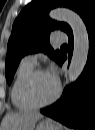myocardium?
Here are the masks:
<instances>
[{"instance_id": "1", "label": "myocardium", "mask_w": 95, "mask_h": 130, "mask_svg": "<svg viewBox=\"0 0 95 130\" xmlns=\"http://www.w3.org/2000/svg\"><path fill=\"white\" fill-rule=\"evenodd\" d=\"M41 73H47V72L40 68L33 69L27 76L24 86H23V93H24L25 99L27 100V102L29 104H31L35 108L45 107V106H48V105L54 103L59 98L60 93H61L60 82L56 79L57 88H56V93L54 94V96L52 98H50L49 100L43 101V102L36 100L32 94V84H33L35 77Z\"/></svg>"}]
</instances>
